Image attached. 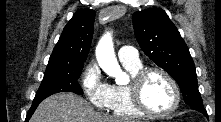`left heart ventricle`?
Here are the masks:
<instances>
[{
    "mask_svg": "<svg viewBox=\"0 0 221 122\" xmlns=\"http://www.w3.org/2000/svg\"><path fill=\"white\" fill-rule=\"evenodd\" d=\"M145 104L155 112H165L174 102L173 90L169 82L160 74H150L142 86Z\"/></svg>",
    "mask_w": 221,
    "mask_h": 122,
    "instance_id": "left-heart-ventricle-1",
    "label": "left heart ventricle"
}]
</instances>
